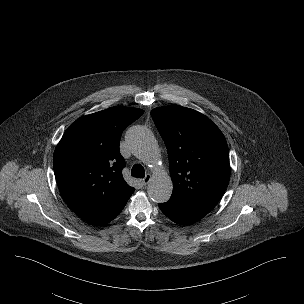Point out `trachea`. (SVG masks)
<instances>
[{"label": "trachea", "instance_id": "3493384b", "mask_svg": "<svg viewBox=\"0 0 304 304\" xmlns=\"http://www.w3.org/2000/svg\"><path fill=\"white\" fill-rule=\"evenodd\" d=\"M131 175L136 178H144L145 177L144 167L140 164H135L132 167Z\"/></svg>", "mask_w": 304, "mask_h": 304}]
</instances>
